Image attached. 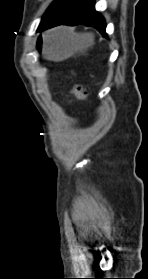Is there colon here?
<instances>
[{"mask_svg": "<svg viewBox=\"0 0 148 279\" xmlns=\"http://www.w3.org/2000/svg\"><path fill=\"white\" fill-rule=\"evenodd\" d=\"M70 92L75 95L78 99L83 101H90L89 92L81 85H74Z\"/></svg>", "mask_w": 148, "mask_h": 279, "instance_id": "colon-1", "label": "colon"}]
</instances>
